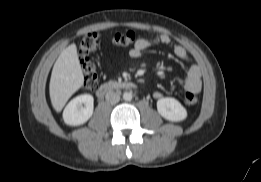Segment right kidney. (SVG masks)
<instances>
[{
    "label": "right kidney",
    "instance_id": "ca27d5eb",
    "mask_svg": "<svg viewBox=\"0 0 261 182\" xmlns=\"http://www.w3.org/2000/svg\"><path fill=\"white\" fill-rule=\"evenodd\" d=\"M84 104V107L82 106ZM94 98L83 94L72 99L63 111V120L67 125L78 126L86 123L92 116Z\"/></svg>",
    "mask_w": 261,
    "mask_h": 182
}]
</instances>
